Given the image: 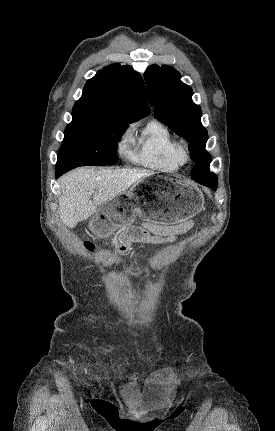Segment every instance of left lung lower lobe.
Returning a JSON list of instances; mask_svg holds the SVG:
<instances>
[{
    "label": "left lung lower lobe",
    "instance_id": "obj_1",
    "mask_svg": "<svg viewBox=\"0 0 275 431\" xmlns=\"http://www.w3.org/2000/svg\"><path fill=\"white\" fill-rule=\"evenodd\" d=\"M191 178L204 186L210 187L213 190L217 189L218 183L215 182L214 174L212 173H191Z\"/></svg>",
    "mask_w": 275,
    "mask_h": 431
}]
</instances>
